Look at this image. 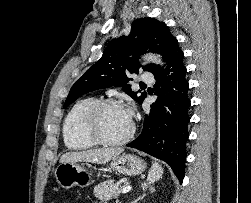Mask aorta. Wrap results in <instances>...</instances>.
<instances>
[{"instance_id": "762f6f07", "label": "aorta", "mask_w": 251, "mask_h": 203, "mask_svg": "<svg viewBox=\"0 0 251 203\" xmlns=\"http://www.w3.org/2000/svg\"><path fill=\"white\" fill-rule=\"evenodd\" d=\"M143 58L147 61H150L152 63L158 64V65H163L162 59L159 55H155V54H147L144 55Z\"/></svg>"}]
</instances>
